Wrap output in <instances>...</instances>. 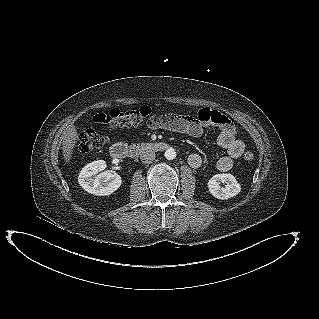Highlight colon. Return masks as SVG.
<instances>
[{
  "label": "colon",
  "instance_id": "5ec220e1",
  "mask_svg": "<svg viewBox=\"0 0 319 319\" xmlns=\"http://www.w3.org/2000/svg\"><path fill=\"white\" fill-rule=\"evenodd\" d=\"M153 109L149 106H144L136 110L121 111L112 109L105 114H100L103 123L115 127H131L139 125L150 118ZM107 142V137L104 134L88 129L80 133L78 137L77 149L81 153H89L93 150L103 147ZM255 155L251 151H246L243 155L245 162L250 163L254 160Z\"/></svg>",
  "mask_w": 319,
  "mask_h": 319
}]
</instances>
